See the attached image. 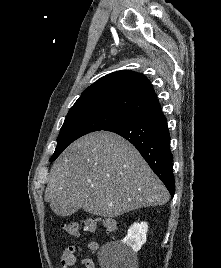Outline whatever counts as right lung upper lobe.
Masks as SVG:
<instances>
[{
	"mask_svg": "<svg viewBox=\"0 0 221 268\" xmlns=\"http://www.w3.org/2000/svg\"><path fill=\"white\" fill-rule=\"evenodd\" d=\"M106 110L126 121L161 110L149 80L134 71L108 74L89 86L69 112Z\"/></svg>",
	"mask_w": 221,
	"mask_h": 268,
	"instance_id": "1",
	"label": "right lung upper lobe"
}]
</instances>
